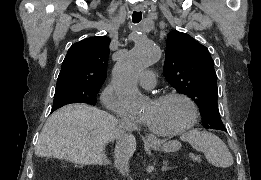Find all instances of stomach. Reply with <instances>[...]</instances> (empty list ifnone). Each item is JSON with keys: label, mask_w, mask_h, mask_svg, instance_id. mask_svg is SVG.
<instances>
[{"label": "stomach", "mask_w": 261, "mask_h": 180, "mask_svg": "<svg viewBox=\"0 0 261 180\" xmlns=\"http://www.w3.org/2000/svg\"><path fill=\"white\" fill-rule=\"evenodd\" d=\"M153 148L160 149L161 151L164 152H175L180 148V144L177 141H168L160 147L153 145Z\"/></svg>", "instance_id": "stomach-1"}]
</instances>
